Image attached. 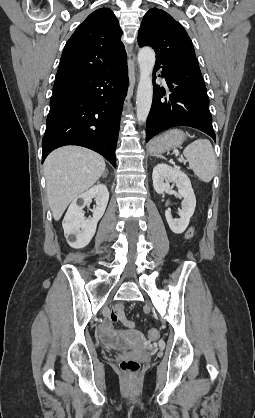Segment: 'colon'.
<instances>
[{"mask_svg": "<svg viewBox=\"0 0 255 418\" xmlns=\"http://www.w3.org/2000/svg\"><path fill=\"white\" fill-rule=\"evenodd\" d=\"M158 331L153 329L148 332V337L151 340L158 338ZM121 371L128 377H135L140 370V362L133 358H124L119 363Z\"/></svg>", "mask_w": 255, "mask_h": 418, "instance_id": "obj_1", "label": "colon"}]
</instances>
